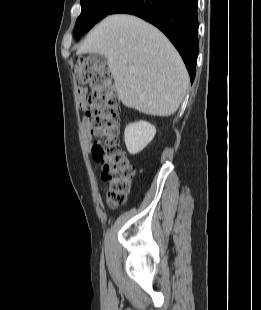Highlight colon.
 Listing matches in <instances>:
<instances>
[{"instance_id":"colon-1","label":"colon","mask_w":261,"mask_h":310,"mask_svg":"<svg viewBox=\"0 0 261 310\" xmlns=\"http://www.w3.org/2000/svg\"><path fill=\"white\" fill-rule=\"evenodd\" d=\"M78 82L91 89L82 101L91 122V133L100 138L92 148L95 161L102 165V179L108 183L107 202L112 208L125 203L131 189L134 167L121 150L118 140L120 105L108 68L92 57H80L75 66Z\"/></svg>"}]
</instances>
